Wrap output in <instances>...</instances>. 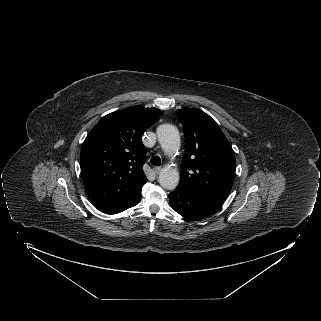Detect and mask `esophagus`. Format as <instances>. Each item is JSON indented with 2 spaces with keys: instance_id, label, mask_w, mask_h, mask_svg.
I'll return each instance as SVG.
<instances>
[{
  "instance_id": "34e87169",
  "label": "esophagus",
  "mask_w": 321,
  "mask_h": 321,
  "mask_svg": "<svg viewBox=\"0 0 321 321\" xmlns=\"http://www.w3.org/2000/svg\"><path fill=\"white\" fill-rule=\"evenodd\" d=\"M160 171H161V167H153V172L155 175H159Z\"/></svg>"
}]
</instances>
